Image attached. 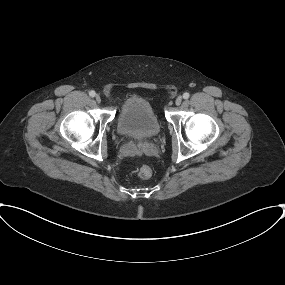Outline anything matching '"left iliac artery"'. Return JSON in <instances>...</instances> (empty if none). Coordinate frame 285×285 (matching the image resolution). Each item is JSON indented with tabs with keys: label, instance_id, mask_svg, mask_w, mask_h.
Wrapping results in <instances>:
<instances>
[{
	"label": "left iliac artery",
	"instance_id": "left-iliac-artery-1",
	"mask_svg": "<svg viewBox=\"0 0 285 285\" xmlns=\"http://www.w3.org/2000/svg\"><path fill=\"white\" fill-rule=\"evenodd\" d=\"M189 97H190L189 93L185 92V93L183 94V98H184V99H188Z\"/></svg>",
	"mask_w": 285,
	"mask_h": 285
}]
</instances>
